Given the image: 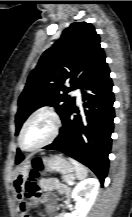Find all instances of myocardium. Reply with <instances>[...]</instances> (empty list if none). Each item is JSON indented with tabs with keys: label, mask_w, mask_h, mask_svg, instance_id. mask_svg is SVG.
I'll use <instances>...</instances> for the list:
<instances>
[{
	"label": "myocardium",
	"mask_w": 132,
	"mask_h": 217,
	"mask_svg": "<svg viewBox=\"0 0 132 217\" xmlns=\"http://www.w3.org/2000/svg\"><path fill=\"white\" fill-rule=\"evenodd\" d=\"M40 114H46V115H48V116H50L52 118V120H53V130H52V133H51V135L49 136L48 139H46L44 142H42L41 144L37 145L36 147L26 148L23 145V142H22L24 131L27 128V126L30 124V122L33 119H35ZM61 124H62L61 117H60L59 113L56 111V109L54 107L45 105V106H41V107L37 108L26 119V121L24 122V124H23V126L21 128V131H20L19 137H18V142H19L20 147L23 150H25V151L32 152V151H37L39 149H42L43 147L51 144L58 137L60 129H61Z\"/></svg>",
	"instance_id": "f54148a6"
}]
</instances>
